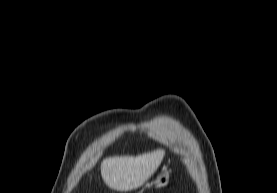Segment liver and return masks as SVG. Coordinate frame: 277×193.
<instances>
[{"label": "liver", "mask_w": 277, "mask_h": 193, "mask_svg": "<svg viewBox=\"0 0 277 193\" xmlns=\"http://www.w3.org/2000/svg\"><path fill=\"white\" fill-rule=\"evenodd\" d=\"M165 151L157 149L138 156H114L101 163L105 184L116 191H130L141 187L160 166Z\"/></svg>", "instance_id": "6515ba94"}]
</instances>
